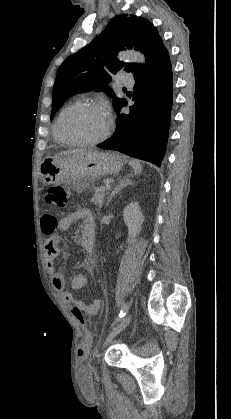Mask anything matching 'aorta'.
Instances as JSON below:
<instances>
[{
    "label": "aorta",
    "instance_id": "1",
    "mask_svg": "<svg viewBox=\"0 0 231 419\" xmlns=\"http://www.w3.org/2000/svg\"><path fill=\"white\" fill-rule=\"evenodd\" d=\"M118 59L124 62L144 63L145 56L137 51H123L118 54Z\"/></svg>",
    "mask_w": 231,
    "mask_h": 419
}]
</instances>
